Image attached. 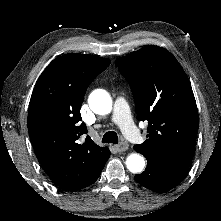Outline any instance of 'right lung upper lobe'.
<instances>
[{"label": "right lung upper lobe", "instance_id": "right-lung-upper-lobe-1", "mask_svg": "<svg viewBox=\"0 0 221 221\" xmlns=\"http://www.w3.org/2000/svg\"><path fill=\"white\" fill-rule=\"evenodd\" d=\"M110 60L87 54L54 59L38 78L28 111V131L47 175L61 188L78 190L93 184L110 157L107 147L87 136L80 114L84 95Z\"/></svg>", "mask_w": 221, "mask_h": 221}]
</instances>
